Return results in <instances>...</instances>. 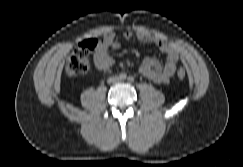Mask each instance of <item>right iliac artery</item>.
Returning <instances> with one entry per match:
<instances>
[{
    "label": "right iliac artery",
    "mask_w": 243,
    "mask_h": 167,
    "mask_svg": "<svg viewBox=\"0 0 243 167\" xmlns=\"http://www.w3.org/2000/svg\"><path fill=\"white\" fill-rule=\"evenodd\" d=\"M126 77H127V75H126L125 73H121V74H120V78H121V79H126Z\"/></svg>",
    "instance_id": "82829eb1"
}]
</instances>
